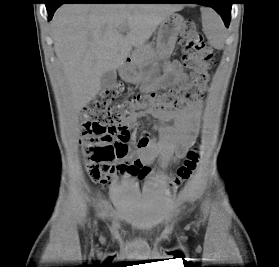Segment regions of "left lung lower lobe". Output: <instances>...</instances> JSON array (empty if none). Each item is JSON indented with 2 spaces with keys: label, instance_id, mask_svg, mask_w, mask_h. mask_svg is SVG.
Segmentation results:
<instances>
[{
  "label": "left lung lower lobe",
  "instance_id": "left-lung-lower-lobe-1",
  "mask_svg": "<svg viewBox=\"0 0 279 267\" xmlns=\"http://www.w3.org/2000/svg\"><path fill=\"white\" fill-rule=\"evenodd\" d=\"M155 3H200L217 11L222 17L226 27L229 25L232 0H157Z\"/></svg>",
  "mask_w": 279,
  "mask_h": 267
}]
</instances>
